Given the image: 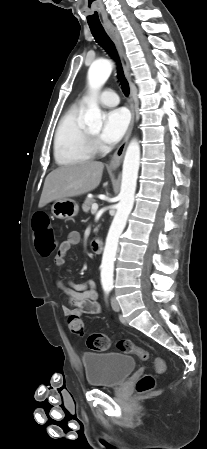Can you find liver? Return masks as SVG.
I'll use <instances>...</instances> for the list:
<instances>
[{"mask_svg":"<svg viewBox=\"0 0 207 449\" xmlns=\"http://www.w3.org/2000/svg\"><path fill=\"white\" fill-rule=\"evenodd\" d=\"M103 169L102 162L88 161L53 170L45 179L38 207L94 190L100 184Z\"/></svg>","mask_w":207,"mask_h":449,"instance_id":"6515ba94","label":"liver"}]
</instances>
